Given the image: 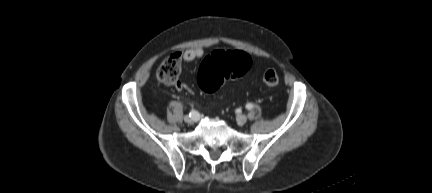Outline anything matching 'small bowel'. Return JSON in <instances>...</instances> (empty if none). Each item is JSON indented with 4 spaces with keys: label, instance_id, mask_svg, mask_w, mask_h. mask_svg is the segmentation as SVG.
Listing matches in <instances>:
<instances>
[{
    "label": "small bowel",
    "instance_id": "c3829d8e",
    "mask_svg": "<svg viewBox=\"0 0 432 193\" xmlns=\"http://www.w3.org/2000/svg\"><path fill=\"white\" fill-rule=\"evenodd\" d=\"M203 55H204V50L202 48H192V49L186 50L182 54V58L185 62H192V61H195L197 59H200L201 57H203ZM176 86L178 89L182 88V84L179 82L177 83Z\"/></svg>",
    "mask_w": 432,
    "mask_h": 193
}]
</instances>
